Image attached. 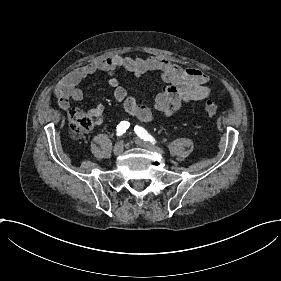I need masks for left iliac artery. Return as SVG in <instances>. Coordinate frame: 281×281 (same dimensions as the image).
<instances>
[{"label":"left iliac artery","instance_id":"left-iliac-artery-1","mask_svg":"<svg viewBox=\"0 0 281 281\" xmlns=\"http://www.w3.org/2000/svg\"><path fill=\"white\" fill-rule=\"evenodd\" d=\"M134 131L141 139H144L145 141H150L153 144L155 143L154 138L151 135H149L144 128L139 127L137 125L135 126Z\"/></svg>","mask_w":281,"mask_h":281}]
</instances>
